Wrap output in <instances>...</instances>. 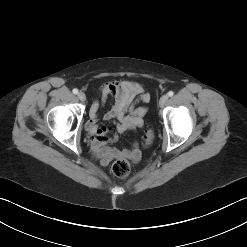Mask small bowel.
Segmentation results:
<instances>
[{
	"label": "small bowel",
	"mask_w": 247,
	"mask_h": 247,
	"mask_svg": "<svg viewBox=\"0 0 247 247\" xmlns=\"http://www.w3.org/2000/svg\"><path fill=\"white\" fill-rule=\"evenodd\" d=\"M112 97L114 105L104 114L105 121H113L114 128L101 126L98 123L100 105ZM150 95L143 85L134 81H111L101 88V101H95L89 111V120L86 122V130L90 134L93 152L103 165L117 158L129 159L138 162L141 157L137 142L131 149L116 148L111 144L116 140L117 134L134 131L141 128L147 108L135 107L137 102L148 103ZM110 131H114L113 137H109Z\"/></svg>",
	"instance_id": "1"
}]
</instances>
